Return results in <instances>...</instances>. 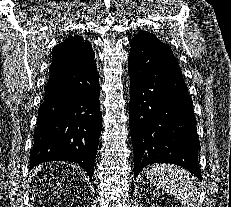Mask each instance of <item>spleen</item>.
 <instances>
[{"label":"spleen","instance_id":"spleen-1","mask_svg":"<svg viewBox=\"0 0 231 207\" xmlns=\"http://www.w3.org/2000/svg\"><path fill=\"white\" fill-rule=\"evenodd\" d=\"M145 174L150 184L176 196L184 207L197 202V190L185 170L173 165L157 164L148 166Z\"/></svg>","mask_w":231,"mask_h":207}]
</instances>
